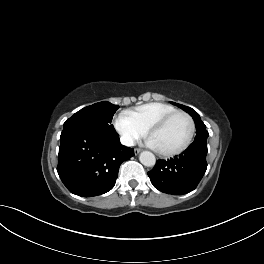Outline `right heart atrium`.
Wrapping results in <instances>:
<instances>
[{
	"instance_id": "right-heart-atrium-1",
	"label": "right heart atrium",
	"mask_w": 264,
	"mask_h": 264,
	"mask_svg": "<svg viewBox=\"0 0 264 264\" xmlns=\"http://www.w3.org/2000/svg\"><path fill=\"white\" fill-rule=\"evenodd\" d=\"M114 127L120 135L122 142L128 146L134 145L146 135V131L141 129L132 120L127 111L121 112L116 117Z\"/></svg>"
}]
</instances>
